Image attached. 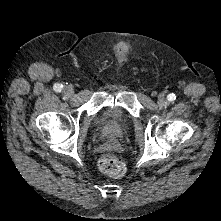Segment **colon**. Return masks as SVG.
I'll use <instances>...</instances> for the list:
<instances>
[{
  "label": "colon",
  "instance_id": "5ec220e1",
  "mask_svg": "<svg viewBox=\"0 0 221 221\" xmlns=\"http://www.w3.org/2000/svg\"><path fill=\"white\" fill-rule=\"evenodd\" d=\"M98 167L103 173L114 177L122 176L125 172V164L113 154H105L98 161Z\"/></svg>",
  "mask_w": 221,
  "mask_h": 221
}]
</instances>
